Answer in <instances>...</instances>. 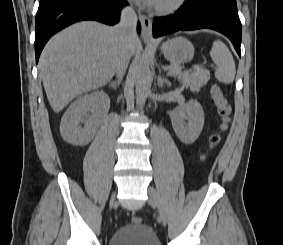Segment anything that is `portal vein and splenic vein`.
Wrapping results in <instances>:
<instances>
[{
  "mask_svg": "<svg viewBox=\"0 0 283 245\" xmlns=\"http://www.w3.org/2000/svg\"><path fill=\"white\" fill-rule=\"evenodd\" d=\"M168 70H169V67H168ZM189 70H184V71H182V70H180V71H178L177 73L178 74H184V73H187Z\"/></svg>",
  "mask_w": 283,
  "mask_h": 245,
  "instance_id": "18ae733b",
  "label": "portal vein and splenic vein"
}]
</instances>
